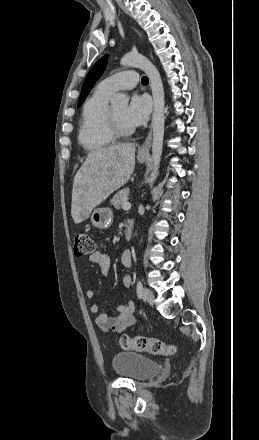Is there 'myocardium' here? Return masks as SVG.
Listing matches in <instances>:
<instances>
[{
  "label": "myocardium",
  "instance_id": "myocardium-1",
  "mask_svg": "<svg viewBox=\"0 0 259 440\" xmlns=\"http://www.w3.org/2000/svg\"><path fill=\"white\" fill-rule=\"evenodd\" d=\"M108 121H109L110 130L112 134L115 136V138L127 137L134 133L133 127H126L120 123V121L117 119L116 115L114 114L112 108L109 109Z\"/></svg>",
  "mask_w": 259,
  "mask_h": 440
}]
</instances>
